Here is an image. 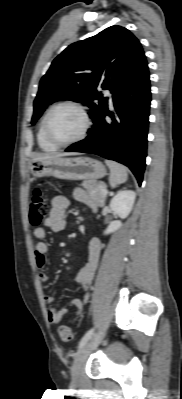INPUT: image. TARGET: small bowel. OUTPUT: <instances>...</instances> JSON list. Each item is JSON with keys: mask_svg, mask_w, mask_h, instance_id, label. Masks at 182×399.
I'll return each instance as SVG.
<instances>
[{"mask_svg": "<svg viewBox=\"0 0 182 399\" xmlns=\"http://www.w3.org/2000/svg\"><path fill=\"white\" fill-rule=\"evenodd\" d=\"M73 197L77 201L87 205L92 209H96L98 207L97 200L82 189H75L73 191ZM68 206L69 200L67 197L62 195L53 197L51 200L49 215L44 220L43 226L37 227L33 231L34 237L40 240L35 246V262L37 267L41 270V272L39 273V279L42 282H46L49 279L47 273L43 271V269L47 265L48 251V246L43 241V239L46 237V232L48 229L53 232H61L65 229L66 209L68 208ZM100 252L101 242L98 238H93L89 243L87 263L79 270L75 277L76 282L80 284V286L86 292L84 300L75 298L70 302V306L77 308L76 315H79L82 312L88 299L91 283L98 266ZM46 301L49 303V306L46 310L49 323L53 325L59 324L63 316L68 312V307L56 309L52 305L53 298L50 296L46 297Z\"/></svg>", "mask_w": 182, "mask_h": 399, "instance_id": "obj_1", "label": "small bowel"}]
</instances>
